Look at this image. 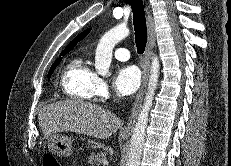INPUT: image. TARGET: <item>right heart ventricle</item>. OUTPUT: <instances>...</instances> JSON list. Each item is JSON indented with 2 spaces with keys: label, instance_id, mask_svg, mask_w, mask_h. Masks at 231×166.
<instances>
[{
  "label": "right heart ventricle",
  "instance_id": "right-heart-ventricle-1",
  "mask_svg": "<svg viewBox=\"0 0 231 166\" xmlns=\"http://www.w3.org/2000/svg\"><path fill=\"white\" fill-rule=\"evenodd\" d=\"M96 74L90 68L84 55L73 57L61 74L64 93L74 100L89 101L93 97Z\"/></svg>",
  "mask_w": 231,
  "mask_h": 166
}]
</instances>
